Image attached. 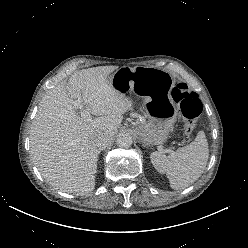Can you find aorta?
I'll return each mask as SVG.
<instances>
[{
	"mask_svg": "<svg viewBox=\"0 0 248 248\" xmlns=\"http://www.w3.org/2000/svg\"><path fill=\"white\" fill-rule=\"evenodd\" d=\"M133 139L129 132H120L117 135L116 143L121 148H129L132 145Z\"/></svg>",
	"mask_w": 248,
	"mask_h": 248,
	"instance_id": "762f6f07",
	"label": "aorta"
}]
</instances>
